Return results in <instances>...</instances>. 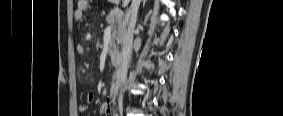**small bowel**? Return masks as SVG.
Instances as JSON below:
<instances>
[{
	"instance_id": "obj_1",
	"label": "small bowel",
	"mask_w": 283,
	"mask_h": 116,
	"mask_svg": "<svg viewBox=\"0 0 283 116\" xmlns=\"http://www.w3.org/2000/svg\"><path fill=\"white\" fill-rule=\"evenodd\" d=\"M88 3L89 1L87 0H79L78 1V6L74 11L73 17L75 20L80 21L84 18L85 13L87 11L88 8ZM76 51L78 54L82 55L84 54V47L82 45H77L76 47ZM96 99V94L93 92H88L86 95V102L87 104L82 105L80 107V110L82 112H84L85 110L88 109V105L92 104ZM112 98L110 96H107L106 101L102 104L101 106V115L102 116H112L113 112H112Z\"/></svg>"
}]
</instances>
